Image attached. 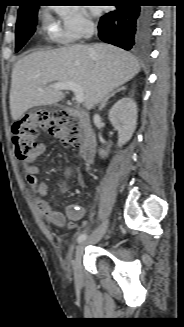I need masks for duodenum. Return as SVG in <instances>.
Returning a JSON list of instances; mask_svg holds the SVG:
<instances>
[{
    "label": "duodenum",
    "instance_id": "1",
    "mask_svg": "<svg viewBox=\"0 0 184 327\" xmlns=\"http://www.w3.org/2000/svg\"><path fill=\"white\" fill-rule=\"evenodd\" d=\"M65 111L70 115L77 117L82 126L84 131V141L80 146V155L84 162L91 163L95 156L96 137L91 127L90 117L86 112L74 108L67 107L65 108Z\"/></svg>",
    "mask_w": 184,
    "mask_h": 327
}]
</instances>
